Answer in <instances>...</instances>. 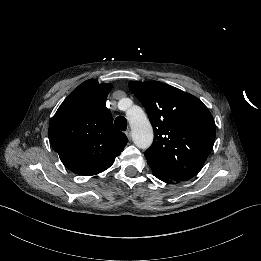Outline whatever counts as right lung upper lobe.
Returning <instances> with one entry per match:
<instances>
[{
    "mask_svg": "<svg viewBox=\"0 0 261 261\" xmlns=\"http://www.w3.org/2000/svg\"><path fill=\"white\" fill-rule=\"evenodd\" d=\"M111 84L87 80L64 100L48 130L51 145L66 168L95 175L109 168L128 140L112 123L106 98Z\"/></svg>",
    "mask_w": 261,
    "mask_h": 261,
    "instance_id": "cb5924a9",
    "label": "right lung upper lobe"
}]
</instances>
